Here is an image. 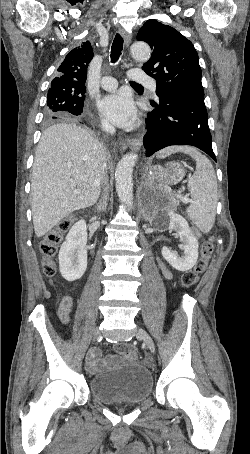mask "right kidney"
I'll return each mask as SVG.
<instances>
[{
    "label": "right kidney",
    "instance_id": "right-kidney-1",
    "mask_svg": "<svg viewBox=\"0 0 250 454\" xmlns=\"http://www.w3.org/2000/svg\"><path fill=\"white\" fill-rule=\"evenodd\" d=\"M87 227L84 220L70 229L59 251V269L69 281L80 279L87 268Z\"/></svg>",
    "mask_w": 250,
    "mask_h": 454
}]
</instances>
